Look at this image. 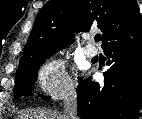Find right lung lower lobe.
Returning <instances> with one entry per match:
<instances>
[{
    "label": "right lung lower lobe",
    "mask_w": 142,
    "mask_h": 119,
    "mask_svg": "<svg viewBox=\"0 0 142 119\" xmlns=\"http://www.w3.org/2000/svg\"><path fill=\"white\" fill-rule=\"evenodd\" d=\"M103 50L110 66L104 73V84L79 79L78 115L81 119L138 118L142 96V32Z\"/></svg>",
    "instance_id": "obj_1"
}]
</instances>
